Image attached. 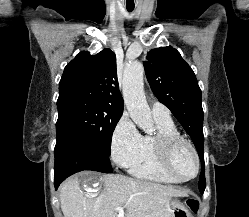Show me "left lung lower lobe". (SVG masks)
I'll return each mask as SVG.
<instances>
[{"label": "left lung lower lobe", "mask_w": 249, "mask_h": 217, "mask_svg": "<svg viewBox=\"0 0 249 217\" xmlns=\"http://www.w3.org/2000/svg\"><path fill=\"white\" fill-rule=\"evenodd\" d=\"M199 183L203 184V189L200 190L201 194H203V192L205 190V173H204V169L203 168H201V174H200Z\"/></svg>", "instance_id": "left-lung-lower-lobe-1"}]
</instances>
